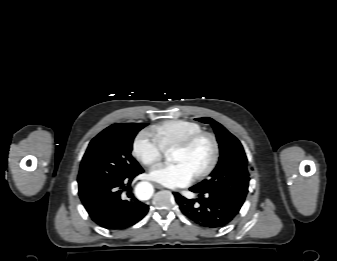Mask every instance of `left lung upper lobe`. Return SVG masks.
<instances>
[{"label": "left lung upper lobe", "instance_id": "left-lung-upper-lobe-1", "mask_svg": "<svg viewBox=\"0 0 337 261\" xmlns=\"http://www.w3.org/2000/svg\"><path fill=\"white\" fill-rule=\"evenodd\" d=\"M196 120L212 125L220 148V158L216 168L194 187L201 192H216L227 197L241 207L245 201L249 185L247 158L239 140L221 124L209 117Z\"/></svg>", "mask_w": 337, "mask_h": 261}]
</instances>
